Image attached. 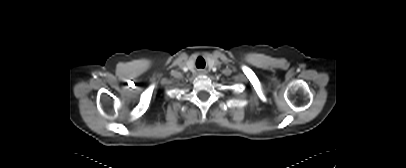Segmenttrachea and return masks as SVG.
Segmentation results:
<instances>
[{
  "instance_id": "1",
  "label": "trachea",
  "mask_w": 406,
  "mask_h": 168,
  "mask_svg": "<svg viewBox=\"0 0 406 168\" xmlns=\"http://www.w3.org/2000/svg\"><path fill=\"white\" fill-rule=\"evenodd\" d=\"M199 61H203V62H204V60H203L202 58H199V59L197 60V63H199Z\"/></svg>"
}]
</instances>
